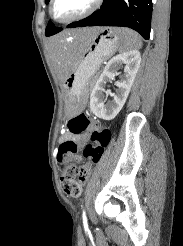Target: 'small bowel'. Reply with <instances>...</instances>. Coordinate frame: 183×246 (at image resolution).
Returning <instances> with one entry per match:
<instances>
[{"mask_svg":"<svg viewBox=\"0 0 183 246\" xmlns=\"http://www.w3.org/2000/svg\"><path fill=\"white\" fill-rule=\"evenodd\" d=\"M60 141L62 143L65 141H73L75 143L84 144L87 141V136L85 134H74L69 130V132L62 135Z\"/></svg>","mask_w":183,"mask_h":246,"instance_id":"obj_1","label":"small bowel"}]
</instances>
